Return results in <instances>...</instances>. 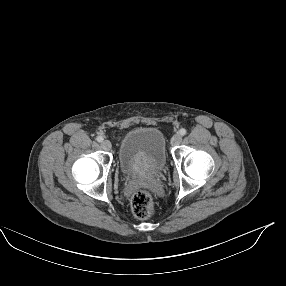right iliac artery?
I'll use <instances>...</instances> for the list:
<instances>
[{
	"instance_id": "82829eb1",
	"label": "right iliac artery",
	"mask_w": 286,
	"mask_h": 286,
	"mask_svg": "<svg viewBox=\"0 0 286 286\" xmlns=\"http://www.w3.org/2000/svg\"><path fill=\"white\" fill-rule=\"evenodd\" d=\"M96 140H97L98 142H102V141H103V137H102V136H97V137H96Z\"/></svg>"
}]
</instances>
